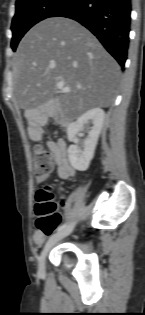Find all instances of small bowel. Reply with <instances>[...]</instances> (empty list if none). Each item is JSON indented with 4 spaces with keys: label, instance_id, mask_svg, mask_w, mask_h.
I'll use <instances>...</instances> for the list:
<instances>
[{
    "label": "small bowel",
    "instance_id": "small-bowel-1",
    "mask_svg": "<svg viewBox=\"0 0 145 315\" xmlns=\"http://www.w3.org/2000/svg\"><path fill=\"white\" fill-rule=\"evenodd\" d=\"M28 132L33 139L38 141L43 140L41 118H38L29 124ZM46 146L53 157L57 176L63 180L69 179L74 174V168L68 159V148L66 142L63 139H59L57 141H46ZM43 180L44 178L36 177V182H41ZM61 203L64 205L63 200ZM45 235L46 233H39L38 229H35L32 237L34 244H42L45 239Z\"/></svg>",
    "mask_w": 145,
    "mask_h": 315
}]
</instances>
